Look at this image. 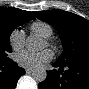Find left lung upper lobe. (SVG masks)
<instances>
[{
	"mask_svg": "<svg viewBox=\"0 0 89 89\" xmlns=\"http://www.w3.org/2000/svg\"><path fill=\"white\" fill-rule=\"evenodd\" d=\"M34 15L51 24L61 38L63 53L58 63L89 61V21L63 10L36 11Z\"/></svg>",
	"mask_w": 89,
	"mask_h": 89,
	"instance_id": "5c2ea615",
	"label": "left lung upper lobe"
}]
</instances>
